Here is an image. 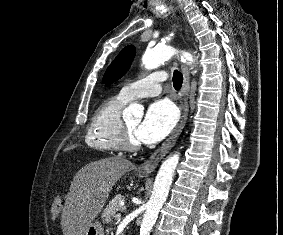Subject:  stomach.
<instances>
[{
  "label": "stomach",
  "mask_w": 283,
  "mask_h": 235,
  "mask_svg": "<svg viewBox=\"0 0 283 235\" xmlns=\"http://www.w3.org/2000/svg\"><path fill=\"white\" fill-rule=\"evenodd\" d=\"M139 177H143L144 175L139 174ZM85 235H104L103 226L99 221H94L90 224Z\"/></svg>",
  "instance_id": "0dacf381"
}]
</instances>
